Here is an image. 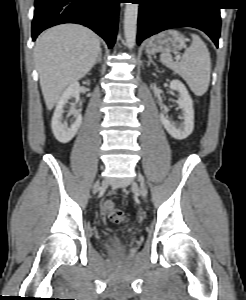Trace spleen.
Segmentation results:
<instances>
[{"instance_id": "3e777b00", "label": "spleen", "mask_w": 246, "mask_h": 300, "mask_svg": "<svg viewBox=\"0 0 246 300\" xmlns=\"http://www.w3.org/2000/svg\"><path fill=\"white\" fill-rule=\"evenodd\" d=\"M192 43L180 62H175L169 53H162L160 61L178 73L196 96L204 95L209 87L211 73L210 53L203 40L191 34Z\"/></svg>"}]
</instances>
